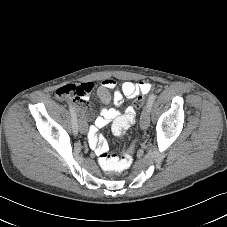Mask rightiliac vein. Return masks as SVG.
Masks as SVG:
<instances>
[{
    "label": "right iliac vein",
    "instance_id": "right-iliac-vein-1",
    "mask_svg": "<svg viewBox=\"0 0 227 227\" xmlns=\"http://www.w3.org/2000/svg\"><path fill=\"white\" fill-rule=\"evenodd\" d=\"M79 130L81 133H86V128L80 124Z\"/></svg>",
    "mask_w": 227,
    "mask_h": 227
}]
</instances>
